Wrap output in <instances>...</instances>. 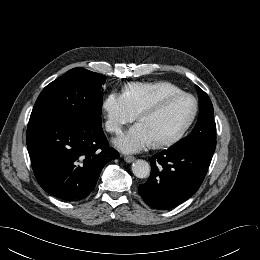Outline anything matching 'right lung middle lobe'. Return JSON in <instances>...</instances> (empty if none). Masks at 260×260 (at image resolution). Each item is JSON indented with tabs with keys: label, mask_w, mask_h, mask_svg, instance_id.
Returning <instances> with one entry per match:
<instances>
[{
	"label": "right lung middle lobe",
	"mask_w": 260,
	"mask_h": 260,
	"mask_svg": "<svg viewBox=\"0 0 260 260\" xmlns=\"http://www.w3.org/2000/svg\"><path fill=\"white\" fill-rule=\"evenodd\" d=\"M106 76L84 68L69 70L48 84L40 93L31 116L61 115L101 124L103 92Z\"/></svg>",
	"instance_id": "dd1d6c3e"
}]
</instances>
